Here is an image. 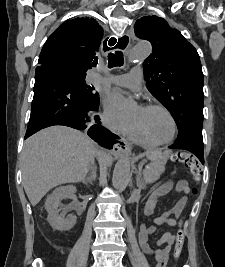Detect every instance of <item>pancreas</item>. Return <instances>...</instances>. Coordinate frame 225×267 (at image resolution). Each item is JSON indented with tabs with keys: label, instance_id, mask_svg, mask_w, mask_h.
<instances>
[{
	"label": "pancreas",
	"instance_id": "obj_1",
	"mask_svg": "<svg viewBox=\"0 0 225 267\" xmlns=\"http://www.w3.org/2000/svg\"><path fill=\"white\" fill-rule=\"evenodd\" d=\"M166 160H157L149 165L148 169L144 171V177L142 179L143 186L154 183L157 181L161 174L164 172V165Z\"/></svg>",
	"mask_w": 225,
	"mask_h": 267
}]
</instances>
